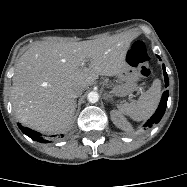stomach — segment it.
Returning <instances> with one entry per match:
<instances>
[{
	"label": "stomach",
	"mask_w": 187,
	"mask_h": 187,
	"mask_svg": "<svg viewBox=\"0 0 187 187\" xmlns=\"http://www.w3.org/2000/svg\"><path fill=\"white\" fill-rule=\"evenodd\" d=\"M119 83L112 87V95L125 97L130 95L137 88V82L140 80V73L137 67L127 64L117 74Z\"/></svg>",
	"instance_id": "obj_1"
}]
</instances>
